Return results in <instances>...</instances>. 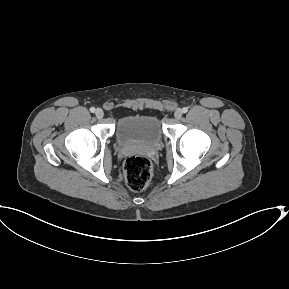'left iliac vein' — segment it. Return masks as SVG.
<instances>
[{"instance_id":"4c4485c4","label":"left iliac vein","mask_w":289,"mask_h":289,"mask_svg":"<svg viewBox=\"0 0 289 289\" xmlns=\"http://www.w3.org/2000/svg\"><path fill=\"white\" fill-rule=\"evenodd\" d=\"M182 110L181 109H177L176 111H175V113H174V117L176 118V119H180L181 117H182Z\"/></svg>"}]
</instances>
